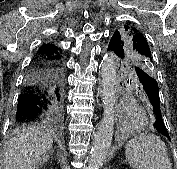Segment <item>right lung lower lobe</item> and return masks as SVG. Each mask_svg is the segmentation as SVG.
I'll return each mask as SVG.
<instances>
[{"mask_svg": "<svg viewBox=\"0 0 177 169\" xmlns=\"http://www.w3.org/2000/svg\"><path fill=\"white\" fill-rule=\"evenodd\" d=\"M64 113V73L60 58L37 52L18 98L15 123L57 124Z\"/></svg>", "mask_w": 177, "mask_h": 169, "instance_id": "1", "label": "right lung lower lobe"}]
</instances>
